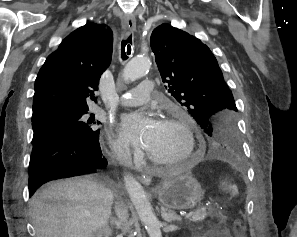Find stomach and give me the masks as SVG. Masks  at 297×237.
<instances>
[{"instance_id":"stomach-1","label":"stomach","mask_w":297,"mask_h":237,"mask_svg":"<svg viewBox=\"0 0 297 237\" xmlns=\"http://www.w3.org/2000/svg\"><path fill=\"white\" fill-rule=\"evenodd\" d=\"M161 205L172 209H192L203 199L201 184L191 173L164 182L156 191Z\"/></svg>"}]
</instances>
